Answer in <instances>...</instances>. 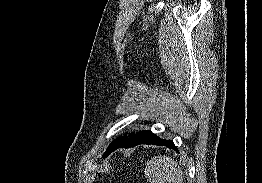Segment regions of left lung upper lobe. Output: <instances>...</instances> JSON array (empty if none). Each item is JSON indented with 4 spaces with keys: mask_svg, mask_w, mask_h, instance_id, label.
Wrapping results in <instances>:
<instances>
[{
    "mask_svg": "<svg viewBox=\"0 0 262 183\" xmlns=\"http://www.w3.org/2000/svg\"><path fill=\"white\" fill-rule=\"evenodd\" d=\"M131 135H133V134H131ZM120 138H123V137H119V138L115 139V140L109 145L108 149L111 147V145H112L116 140H118V139H120ZM108 149L106 150V152L108 151ZM106 152H105V153H106ZM104 155H105V154H104ZM104 155H103V156H104Z\"/></svg>",
    "mask_w": 262,
    "mask_h": 183,
    "instance_id": "left-lung-upper-lobe-1",
    "label": "left lung upper lobe"
}]
</instances>
